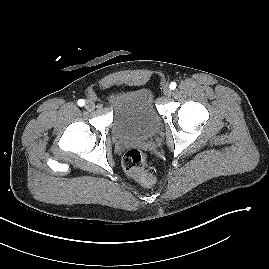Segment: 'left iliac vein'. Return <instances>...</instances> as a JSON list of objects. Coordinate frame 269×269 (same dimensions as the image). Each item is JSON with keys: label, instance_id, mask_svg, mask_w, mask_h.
Here are the masks:
<instances>
[{"label": "left iliac vein", "instance_id": "1", "mask_svg": "<svg viewBox=\"0 0 269 269\" xmlns=\"http://www.w3.org/2000/svg\"><path fill=\"white\" fill-rule=\"evenodd\" d=\"M171 90H170V88H169V86H164L163 87V94L165 95V96H167V97H169L170 95H171Z\"/></svg>", "mask_w": 269, "mask_h": 269}]
</instances>
